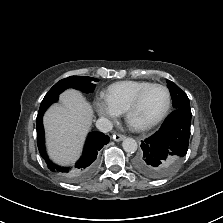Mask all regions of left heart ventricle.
<instances>
[{
  "label": "left heart ventricle",
  "mask_w": 223,
  "mask_h": 223,
  "mask_svg": "<svg viewBox=\"0 0 223 223\" xmlns=\"http://www.w3.org/2000/svg\"><path fill=\"white\" fill-rule=\"evenodd\" d=\"M167 103V94L164 89L155 87L147 92L141 103L130 116V123L142 125L152 122L163 112Z\"/></svg>",
  "instance_id": "b2bd125f"
}]
</instances>
